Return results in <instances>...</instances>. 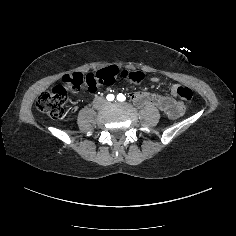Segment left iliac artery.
Instances as JSON below:
<instances>
[{"label": "left iliac artery", "instance_id": "obj_1", "mask_svg": "<svg viewBox=\"0 0 236 236\" xmlns=\"http://www.w3.org/2000/svg\"><path fill=\"white\" fill-rule=\"evenodd\" d=\"M117 100L123 102L126 100V97L122 93H119L117 95Z\"/></svg>", "mask_w": 236, "mask_h": 236}]
</instances>
